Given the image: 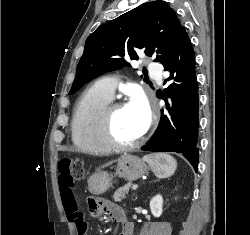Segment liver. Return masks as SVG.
Returning a JSON list of instances; mask_svg holds the SVG:
<instances>
[{"label":"liver","instance_id":"1","mask_svg":"<svg viewBox=\"0 0 250 235\" xmlns=\"http://www.w3.org/2000/svg\"><path fill=\"white\" fill-rule=\"evenodd\" d=\"M112 163H113V161H112V162H109V163H107V164H105V165H103L102 168H104V167H106V166H109V165L112 164Z\"/></svg>","mask_w":250,"mask_h":235}]
</instances>
